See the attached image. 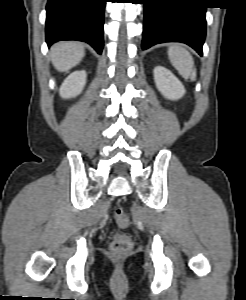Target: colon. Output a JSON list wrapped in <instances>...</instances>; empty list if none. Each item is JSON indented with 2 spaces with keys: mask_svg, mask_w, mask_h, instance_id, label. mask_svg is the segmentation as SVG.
<instances>
[{
  "mask_svg": "<svg viewBox=\"0 0 246 300\" xmlns=\"http://www.w3.org/2000/svg\"><path fill=\"white\" fill-rule=\"evenodd\" d=\"M114 216L120 228H126L129 225V218L122 208L117 207L114 211ZM132 245V239L129 235L119 233L114 236L110 249L115 257H122L131 250Z\"/></svg>",
  "mask_w": 246,
  "mask_h": 300,
  "instance_id": "5ec220e1",
  "label": "colon"
}]
</instances>
